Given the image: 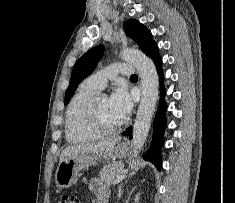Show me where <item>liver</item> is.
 <instances>
[{
	"mask_svg": "<svg viewBox=\"0 0 235 203\" xmlns=\"http://www.w3.org/2000/svg\"><path fill=\"white\" fill-rule=\"evenodd\" d=\"M120 139V137H116L112 139L101 140L98 142L68 146L62 151L60 162L69 156L104 152L105 150L114 147L120 141Z\"/></svg>",
	"mask_w": 235,
	"mask_h": 203,
	"instance_id": "6515ba94",
	"label": "liver"
}]
</instances>
